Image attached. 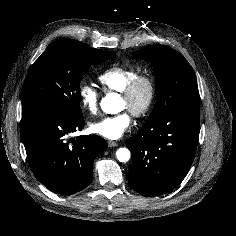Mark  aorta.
I'll use <instances>...</instances> for the list:
<instances>
[{
  "mask_svg": "<svg viewBox=\"0 0 236 236\" xmlns=\"http://www.w3.org/2000/svg\"><path fill=\"white\" fill-rule=\"evenodd\" d=\"M101 108L105 113L116 114L122 110V100L117 93H109L102 99ZM116 156L120 162H127L131 154L129 149L119 148Z\"/></svg>",
  "mask_w": 236,
  "mask_h": 236,
  "instance_id": "aorta-1",
  "label": "aorta"
}]
</instances>
